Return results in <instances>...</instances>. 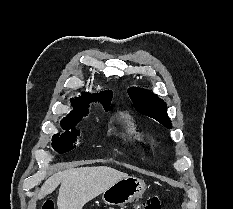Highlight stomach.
Here are the masks:
<instances>
[{"mask_svg":"<svg viewBox=\"0 0 233 209\" xmlns=\"http://www.w3.org/2000/svg\"><path fill=\"white\" fill-rule=\"evenodd\" d=\"M146 190V184L140 178L127 176L115 182L102 193V200L108 205H125L140 198Z\"/></svg>","mask_w":233,"mask_h":209,"instance_id":"stomach-1","label":"stomach"}]
</instances>
